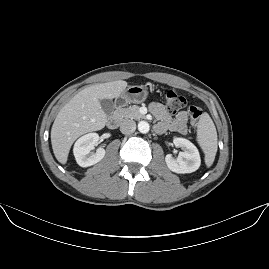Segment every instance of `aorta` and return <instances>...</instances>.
Returning <instances> with one entry per match:
<instances>
[{"label":"aorta","mask_w":269,"mask_h":269,"mask_svg":"<svg viewBox=\"0 0 269 269\" xmlns=\"http://www.w3.org/2000/svg\"><path fill=\"white\" fill-rule=\"evenodd\" d=\"M149 129H150V126H149V123L146 122V121H140L138 123V130L141 132V133H148L149 132Z\"/></svg>","instance_id":"1"}]
</instances>
